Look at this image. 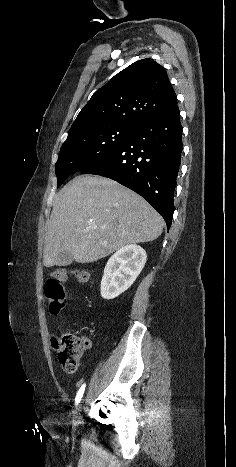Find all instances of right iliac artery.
<instances>
[{"instance_id": "82829eb1", "label": "right iliac artery", "mask_w": 236, "mask_h": 467, "mask_svg": "<svg viewBox=\"0 0 236 467\" xmlns=\"http://www.w3.org/2000/svg\"><path fill=\"white\" fill-rule=\"evenodd\" d=\"M85 386H86V384H83V385L81 386V388L79 389L77 395H76V398H75V405H76V406H77V405L80 403V401H81V398H82L83 393H84V390H85Z\"/></svg>"}]
</instances>
